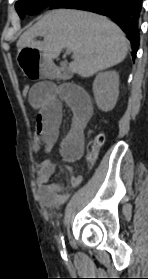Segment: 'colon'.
I'll use <instances>...</instances> for the list:
<instances>
[{
	"label": "colon",
	"instance_id": "obj_1",
	"mask_svg": "<svg viewBox=\"0 0 148 279\" xmlns=\"http://www.w3.org/2000/svg\"><path fill=\"white\" fill-rule=\"evenodd\" d=\"M31 88L32 87L30 85H23L22 88H21V92H22L23 96L28 98L30 96ZM103 141H104L103 135L99 134L88 145V148H87V161L89 163L92 164L96 160L98 151H99L100 147L102 146Z\"/></svg>",
	"mask_w": 148,
	"mask_h": 279
}]
</instances>
